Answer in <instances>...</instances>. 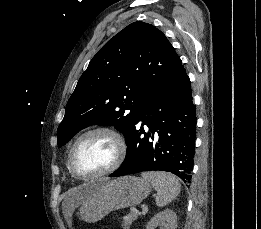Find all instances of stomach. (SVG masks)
<instances>
[{
	"mask_svg": "<svg viewBox=\"0 0 261 229\" xmlns=\"http://www.w3.org/2000/svg\"><path fill=\"white\" fill-rule=\"evenodd\" d=\"M92 191L80 207V217L86 223H97L111 211L142 203L151 193V185L140 177H119L114 181L95 179L84 183Z\"/></svg>",
	"mask_w": 261,
	"mask_h": 229,
	"instance_id": "0dacf381",
	"label": "stomach"
}]
</instances>
